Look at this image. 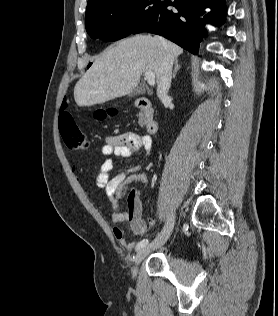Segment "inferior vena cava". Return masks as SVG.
<instances>
[{
  "instance_id": "obj_1",
  "label": "inferior vena cava",
  "mask_w": 278,
  "mask_h": 316,
  "mask_svg": "<svg viewBox=\"0 0 278 316\" xmlns=\"http://www.w3.org/2000/svg\"><path fill=\"white\" fill-rule=\"evenodd\" d=\"M173 61L174 58L171 55H167L162 62L157 88V95L162 101L169 98L168 91L171 86Z\"/></svg>"
}]
</instances>
